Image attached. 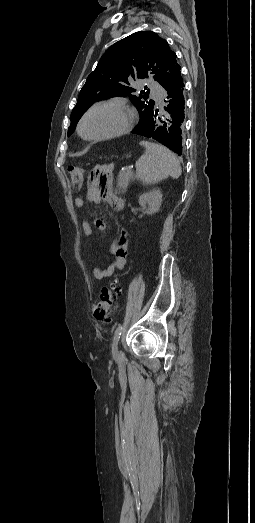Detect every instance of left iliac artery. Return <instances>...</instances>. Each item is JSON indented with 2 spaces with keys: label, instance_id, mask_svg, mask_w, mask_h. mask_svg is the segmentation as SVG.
Segmentation results:
<instances>
[{
  "label": "left iliac artery",
  "instance_id": "obj_1",
  "mask_svg": "<svg viewBox=\"0 0 255 523\" xmlns=\"http://www.w3.org/2000/svg\"><path fill=\"white\" fill-rule=\"evenodd\" d=\"M122 330H123V326L122 325H119L117 327V329L115 330L114 338H113V343H114L115 346L118 344V341L120 339Z\"/></svg>",
  "mask_w": 255,
  "mask_h": 523
}]
</instances>
